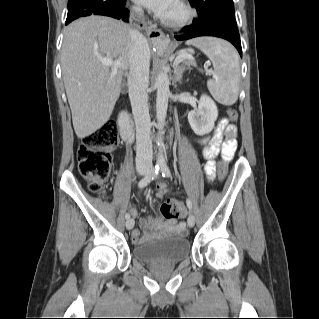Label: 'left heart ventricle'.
I'll return each mask as SVG.
<instances>
[{
	"instance_id": "b2bd125f",
	"label": "left heart ventricle",
	"mask_w": 319,
	"mask_h": 319,
	"mask_svg": "<svg viewBox=\"0 0 319 319\" xmlns=\"http://www.w3.org/2000/svg\"><path fill=\"white\" fill-rule=\"evenodd\" d=\"M180 14V9L177 5V0H174L168 11L164 16L166 17H175Z\"/></svg>"
}]
</instances>
